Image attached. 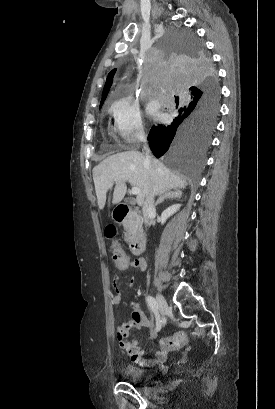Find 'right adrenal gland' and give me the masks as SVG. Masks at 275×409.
Instances as JSON below:
<instances>
[{"label": "right adrenal gland", "mask_w": 275, "mask_h": 409, "mask_svg": "<svg viewBox=\"0 0 275 409\" xmlns=\"http://www.w3.org/2000/svg\"><path fill=\"white\" fill-rule=\"evenodd\" d=\"M182 192L179 190V188H175V190H167V192H163V194H160L155 207L157 205H160V202H163L165 198H181Z\"/></svg>", "instance_id": "2a0ac1e0"}]
</instances>
